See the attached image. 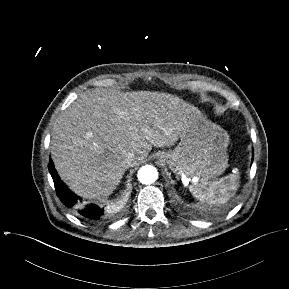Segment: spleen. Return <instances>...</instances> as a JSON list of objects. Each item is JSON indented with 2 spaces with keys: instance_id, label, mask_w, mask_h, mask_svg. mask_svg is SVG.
Instances as JSON below:
<instances>
[{
  "instance_id": "spleen-1",
  "label": "spleen",
  "mask_w": 289,
  "mask_h": 289,
  "mask_svg": "<svg viewBox=\"0 0 289 289\" xmlns=\"http://www.w3.org/2000/svg\"><path fill=\"white\" fill-rule=\"evenodd\" d=\"M239 179V171L235 168L233 173L217 181L201 179L190 186V191L202 203L221 205L235 195L240 186Z\"/></svg>"
}]
</instances>
